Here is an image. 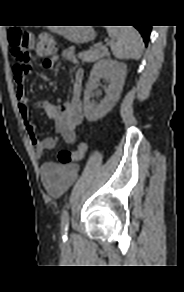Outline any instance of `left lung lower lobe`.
I'll return each instance as SVG.
<instances>
[{
    "label": "left lung lower lobe",
    "instance_id": "obj_1",
    "mask_svg": "<svg viewBox=\"0 0 184 292\" xmlns=\"http://www.w3.org/2000/svg\"><path fill=\"white\" fill-rule=\"evenodd\" d=\"M138 31L141 33L145 44H148V39L151 31V26H144V25H135Z\"/></svg>",
    "mask_w": 184,
    "mask_h": 292
}]
</instances>
